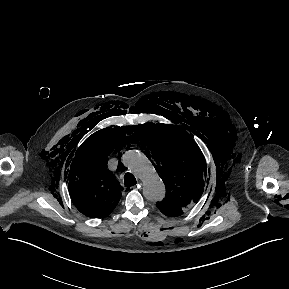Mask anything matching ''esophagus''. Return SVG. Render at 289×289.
<instances>
[{"mask_svg":"<svg viewBox=\"0 0 289 289\" xmlns=\"http://www.w3.org/2000/svg\"><path fill=\"white\" fill-rule=\"evenodd\" d=\"M141 187V183H138L137 185L133 186V189H139Z\"/></svg>","mask_w":289,"mask_h":289,"instance_id":"1","label":"esophagus"}]
</instances>
